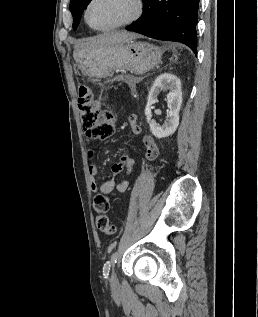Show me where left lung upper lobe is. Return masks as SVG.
Returning a JSON list of instances; mask_svg holds the SVG:
<instances>
[{
	"label": "left lung upper lobe",
	"instance_id": "obj_1",
	"mask_svg": "<svg viewBox=\"0 0 258 317\" xmlns=\"http://www.w3.org/2000/svg\"><path fill=\"white\" fill-rule=\"evenodd\" d=\"M91 0H71L70 1V11L73 16V29L76 30L81 14L83 10L87 7ZM144 1V0H143Z\"/></svg>",
	"mask_w": 258,
	"mask_h": 317
}]
</instances>
